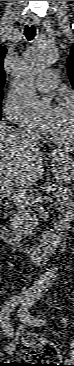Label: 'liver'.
<instances>
[{
    "instance_id": "1",
    "label": "liver",
    "mask_w": 74,
    "mask_h": 366,
    "mask_svg": "<svg viewBox=\"0 0 74 366\" xmlns=\"http://www.w3.org/2000/svg\"><path fill=\"white\" fill-rule=\"evenodd\" d=\"M22 131L0 124V183L5 188L35 185L42 177L43 153L38 146L26 143ZM57 156V151L52 152Z\"/></svg>"
}]
</instances>
